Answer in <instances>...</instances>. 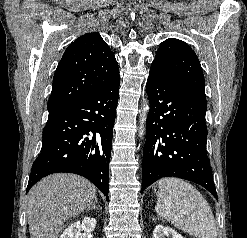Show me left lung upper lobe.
I'll list each match as a JSON object with an SVG mask.
<instances>
[{
  "label": "left lung upper lobe",
  "mask_w": 247,
  "mask_h": 238,
  "mask_svg": "<svg viewBox=\"0 0 247 238\" xmlns=\"http://www.w3.org/2000/svg\"><path fill=\"white\" fill-rule=\"evenodd\" d=\"M151 68L160 70L171 81L206 101L200 62L185 42L170 38L161 43Z\"/></svg>",
  "instance_id": "5c2ea615"
}]
</instances>
